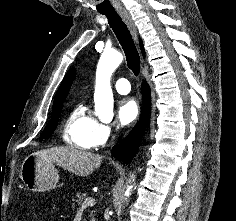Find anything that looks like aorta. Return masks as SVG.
Wrapping results in <instances>:
<instances>
[{
	"label": "aorta",
	"mask_w": 236,
	"mask_h": 221,
	"mask_svg": "<svg viewBox=\"0 0 236 221\" xmlns=\"http://www.w3.org/2000/svg\"><path fill=\"white\" fill-rule=\"evenodd\" d=\"M123 56L117 51L104 52L99 60L94 93L95 114L103 119L113 117V93L110 78L122 63ZM132 186H128L125 196L129 197Z\"/></svg>",
	"instance_id": "762f6f07"
}]
</instances>
